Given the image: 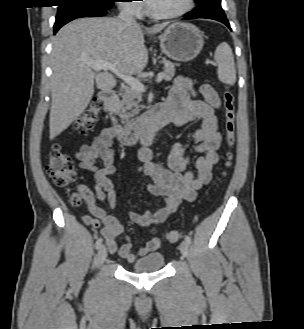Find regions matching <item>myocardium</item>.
<instances>
[{
	"label": "myocardium",
	"mask_w": 304,
	"mask_h": 329,
	"mask_svg": "<svg viewBox=\"0 0 304 329\" xmlns=\"http://www.w3.org/2000/svg\"><path fill=\"white\" fill-rule=\"evenodd\" d=\"M193 7H194V0H186L185 6L178 11L170 12V13H156L150 8L148 2H146V13L149 17L156 20H172L186 15L193 9Z\"/></svg>",
	"instance_id": "f54148a6"
}]
</instances>
